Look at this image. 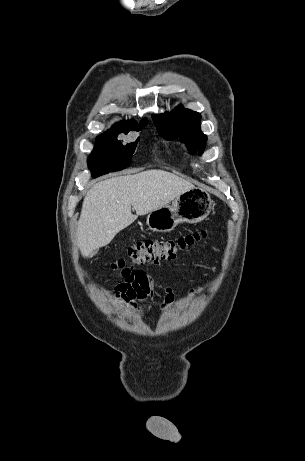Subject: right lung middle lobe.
<instances>
[{
	"instance_id": "right-lung-middle-lobe-1",
	"label": "right lung middle lobe",
	"mask_w": 305,
	"mask_h": 461,
	"mask_svg": "<svg viewBox=\"0 0 305 461\" xmlns=\"http://www.w3.org/2000/svg\"><path fill=\"white\" fill-rule=\"evenodd\" d=\"M147 123L142 122L140 125L135 123L126 129L114 125L111 130L98 136L95 148L88 158V166L92 176L98 177L129 166L139 138L135 142L122 144L121 141L117 140L118 134H127L130 130H142Z\"/></svg>"
}]
</instances>
